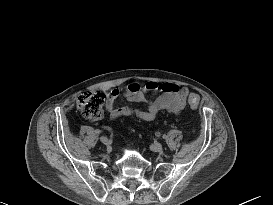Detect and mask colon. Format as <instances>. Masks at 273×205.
Here are the masks:
<instances>
[{
    "mask_svg": "<svg viewBox=\"0 0 273 205\" xmlns=\"http://www.w3.org/2000/svg\"><path fill=\"white\" fill-rule=\"evenodd\" d=\"M76 105L82 116L88 120H96L102 116L106 96L101 92L83 91L76 95ZM191 108L196 109L199 105L198 98L190 97Z\"/></svg>",
    "mask_w": 273,
    "mask_h": 205,
    "instance_id": "colon-1",
    "label": "colon"
}]
</instances>
